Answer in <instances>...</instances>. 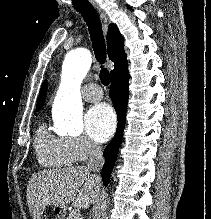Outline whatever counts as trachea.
Here are the masks:
<instances>
[{
	"label": "trachea",
	"mask_w": 211,
	"mask_h": 219,
	"mask_svg": "<svg viewBox=\"0 0 211 219\" xmlns=\"http://www.w3.org/2000/svg\"><path fill=\"white\" fill-rule=\"evenodd\" d=\"M75 9L79 13H81V15L84 17L87 23L90 38L92 41V47L97 61L100 64H104L106 60V44L102 31L101 21L97 12L90 4L83 6H75ZM101 68L102 69L100 71L99 77L101 83L107 86L110 81V74L106 68H103V66H101Z\"/></svg>",
	"instance_id": "trachea-1"
}]
</instances>
